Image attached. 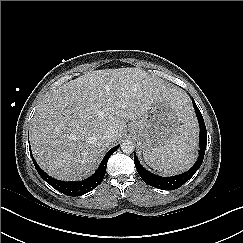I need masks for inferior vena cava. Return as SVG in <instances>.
I'll return each mask as SVG.
<instances>
[{
    "instance_id": "inferior-vena-cava-1",
    "label": "inferior vena cava",
    "mask_w": 243,
    "mask_h": 243,
    "mask_svg": "<svg viewBox=\"0 0 243 243\" xmlns=\"http://www.w3.org/2000/svg\"><path fill=\"white\" fill-rule=\"evenodd\" d=\"M114 135H115L114 130L109 129V130H107V131L103 134L102 138H103L105 141H111V140H113Z\"/></svg>"
}]
</instances>
